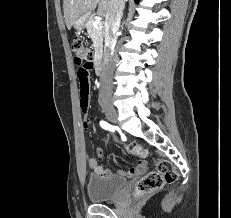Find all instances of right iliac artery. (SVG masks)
<instances>
[{
    "label": "right iliac artery",
    "mask_w": 231,
    "mask_h": 218,
    "mask_svg": "<svg viewBox=\"0 0 231 218\" xmlns=\"http://www.w3.org/2000/svg\"><path fill=\"white\" fill-rule=\"evenodd\" d=\"M100 126L106 130H110L112 132L115 131V127L110 125L108 122L106 121H100Z\"/></svg>",
    "instance_id": "1"
}]
</instances>
